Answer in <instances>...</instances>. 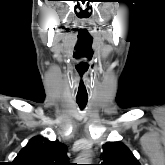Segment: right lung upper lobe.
<instances>
[{"mask_svg": "<svg viewBox=\"0 0 165 165\" xmlns=\"http://www.w3.org/2000/svg\"><path fill=\"white\" fill-rule=\"evenodd\" d=\"M67 148L58 140L33 137L12 162L13 165H71Z\"/></svg>", "mask_w": 165, "mask_h": 165, "instance_id": "right-lung-upper-lobe-1", "label": "right lung upper lobe"}]
</instances>
